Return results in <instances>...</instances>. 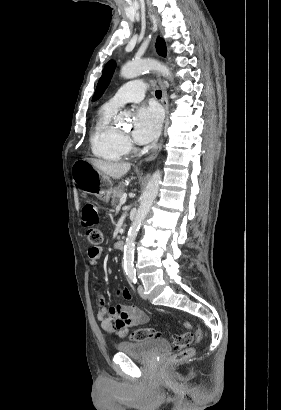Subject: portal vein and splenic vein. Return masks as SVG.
<instances>
[{
    "label": "portal vein and splenic vein",
    "instance_id": "18ae733b",
    "mask_svg": "<svg viewBox=\"0 0 281 410\" xmlns=\"http://www.w3.org/2000/svg\"><path fill=\"white\" fill-rule=\"evenodd\" d=\"M126 199H127V194H123L122 196H121V198H120V201H119V207L120 206H122L123 204H125V202H126Z\"/></svg>",
    "mask_w": 281,
    "mask_h": 410
}]
</instances>
